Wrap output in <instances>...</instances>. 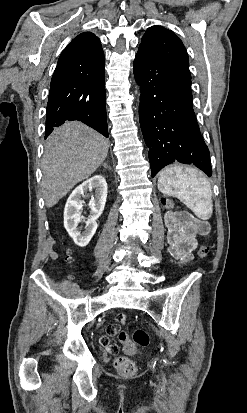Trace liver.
Masks as SVG:
<instances>
[{
	"label": "liver",
	"instance_id": "6515ba94",
	"mask_svg": "<svg viewBox=\"0 0 247 413\" xmlns=\"http://www.w3.org/2000/svg\"><path fill=\"white\" fill-rule=\"evenodd\" d=\"M108 146V138L78 120L55 128L45 142L41 164L46 207H54L74 184L91 176L105 160Z\"/></svg>",
	"mask_w": 247,
	"mask_h": 413
}]
</instances>
